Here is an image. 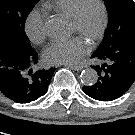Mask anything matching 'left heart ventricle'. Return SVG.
I'll use <instances>...</instances> for the list:
<instances>
[{"mask_svg": "<svg viewBox=\"0 0 135 135\" xmlns=\"http://www.w3.org/2000/svg\"><path fill=\"white\" fill-rule=\"evenodd\" d=\"M101 21V11L96 3H89L84 11L82 18V29L78 34L85 40H89L90 36L98 29ZM72 32H76L74 25L70 22Z\"/></svg>", "mask_w": 135, "mask_h": 135, "instance_id": "obj_1", "label": "left heart ventricle"}]
</instances>
